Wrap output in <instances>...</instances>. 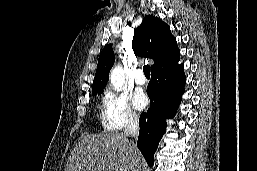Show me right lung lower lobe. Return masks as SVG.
Returning a JSON list of instances; mask_svg holds the SVG:
<instances>
[{"label": "right lung lower lobe", "instance_id": "1", "mask_svg": "<svg viewBox=\"0 0 257 171\" xmlns=\"http://www.w3.org/2000/svg\"><path fill=\"white\" fill-rule=\"evenodd\" d=\"M178 62L151 71L147 87L150 107L140 115L137 142L149 166L154 163V153L166 131L165 120L175 115L184 92L185 74L183 65Z\"/></svg>", "mask_w": 257, "mask_h": 171}]
</instances>
